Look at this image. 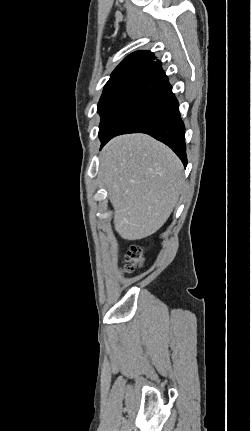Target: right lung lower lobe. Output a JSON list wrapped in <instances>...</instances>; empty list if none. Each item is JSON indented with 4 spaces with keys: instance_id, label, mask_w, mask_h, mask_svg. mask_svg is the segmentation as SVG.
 Instances as JSON below:
<instances>
[{
    "instance_id": "right-lung-lower-lobe-1",
    "label": "right lung lower lobe",
    "mask_w": 251,
    "mask_h": 431,
    "mask_svg": "<svg viewBox=\"0 0 251 431\" xmlns=\"http://www.w3.org/2000/svg\"><path fill=\"white\" fill-rule=\"evenodd\" d=\"M178 106L161 62L153 61L100 135L101 147L120 134L145 133L169 146L186 166L185 127Z\"/></svg>"
}]
</instances>
